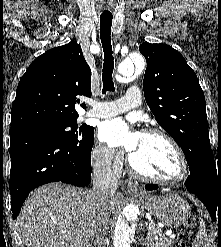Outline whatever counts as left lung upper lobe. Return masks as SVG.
<instances>
[{
	"mask_svg": "<svg viewBox=\"0 0 221 247\" xmlns=\"http://www.w3.org/2000/svg\"><path fill=\"white\" fill-rule=\"evenodd\" d=\"M143 90L159 125L181 147L189 166L211 153L205 97L195 72L177 50L144 42Z\"/></svg>",
	"mask_w": 221,
	"mask_h": 247,
	"instance_id": "obj_1",
	"label": "left lung upper lobe"
}]
</instances>
